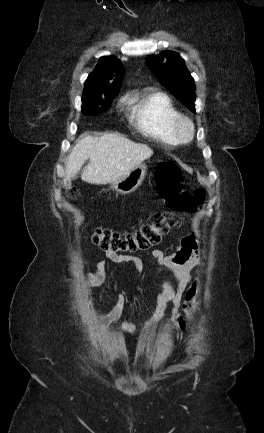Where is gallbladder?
<instances>
[{"label": "gallbladder", "instance_id": "obj_1", "mask_svg": "<svg viewBox=\"0 0 264 433\" xmlns=\"http://www.w3.org/2000/svg\"><path fill=\"white\" fill-rule=\"evenodd\" d=\"M71 185V181L70 180H64V182H63V187H65V188H67V187H69Z\"/></svg>", "mask_w": 264, "mask_h": 433}]
</instances>
